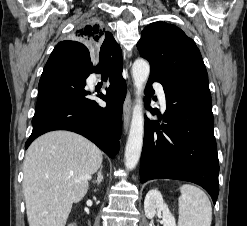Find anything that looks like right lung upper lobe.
<instances>
[{
    "label": "right lung upper lobe",
    "mask_w": 247,
    "mask_h": 226,
    "mask_svg": "<svg viewBox=\"0 0 247 226\" xmlns=\"http://www.w3.org/2000/svg\"><path fill=\"white\" fill-rule=\"evenodd\" d=\"M74 38L80 43L100 47L102 59L107 58L111 67H122V53L112 34L105 30L101 23H90L82 26L74 33Z\"/></svg>",
    "instance_id": "obj_1"
}]
</instances>
